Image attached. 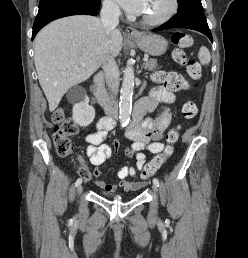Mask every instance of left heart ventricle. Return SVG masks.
<instances>
[{
	"instance_id": "1",
	"label": "left heart ventricle",
	"mask_w": 248,
	"mask_h": 258,
	"mask_svg": "<svg viewBox=\"0 0 248 258\" xmlns=\"http://www.w3.org/2000/svg\"><path fill=\"white\" fill-rule=\"evenodd\" d=\"M171 0H146L142 17L158 18L164 15L171 5Z\"/></svg>"
}]
</instances>
